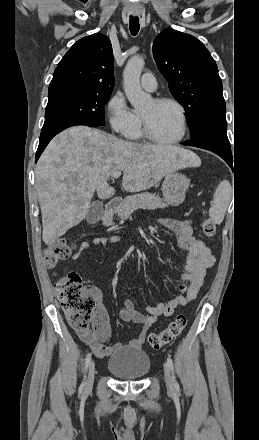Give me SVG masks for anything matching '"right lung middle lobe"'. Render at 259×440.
Wrapping results in <instances>:
<instances>
[{
    "instance_id": "right-lung-middle-lobe-1",
    "label": "right lung middle lobe",
    "mask_w": 259,
    "mask_h": 440,
    "mask_svg": "<svg viewBox=\"0 0 259 440\" xmlns=\"http://www.w3.org/2000/svg\"><path fill=\"white\" fill-rule=\"evenodd\" d=\"M112 92L67 90L49 94L43 126L65 120H84L105 125L104 105Z\"/></svg>"
}]
</instances>
